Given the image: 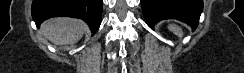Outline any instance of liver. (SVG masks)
Returning <instances> with one entry per match:
<instances>
[{
	"mask_svg": "<svg viewBox=\"0 0 244 73\" xmlns=\"http://www.w3.org/2000/svg\"><path fill=\"white\" fill-rule=\"evenodd\" d=\"M85 30L86 25L81 20L67 17L53 18L42 25L43 35L57 45L76 43Z\"/></svg>",
	"mask_w": 244,
	"mask_h": 73,
	"instance_id": "obj_1",
	"label": "liver"
}]
</instances>
